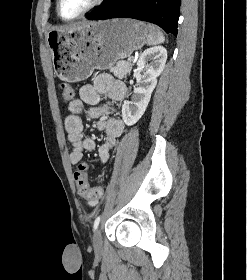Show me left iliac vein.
I'll return each instance as SVG.
<instances>
[{
  "mask_svg": "<svg viewBox=\"0 0 247 280\" xmlns=\"http://www.w3.org/2000/svg\"><path fill=\"white\" fill-rule=\"evenodd\" d=\"M92 243L95 250L99 251L102 248L101 232L99 228L94 231Z\"/></svg>",
  "mask_w": 247,
  "mask_h": 280,
  "instance_id": "1",
  "label": "left iliac vein"
}]
</instances>
